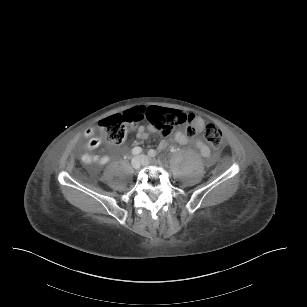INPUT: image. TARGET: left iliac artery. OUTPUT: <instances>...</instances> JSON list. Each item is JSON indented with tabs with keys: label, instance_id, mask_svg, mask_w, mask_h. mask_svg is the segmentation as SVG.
<instances>
[{
	"label": "left iliac artery",
	"instance_id": "1",
	"mask_svg": "<svg viewBox=\"0 0 307 307\" xmlns=\"http://www.w3.org/2000/svg\"><path fill=\"white\" fill-rule=\"evenodd\" d=\"M148 154H149L150 157H155L156 156V151L151 149Z\"/></svg>",
	"mask_w": 307,
	"mask_h": 307
}]
</instances>
